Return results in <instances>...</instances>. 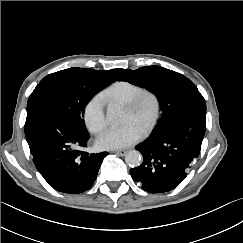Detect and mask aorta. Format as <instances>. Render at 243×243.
<instances>
[{
  "label": "aorta",
  "mask_w": 243,
  "mask_h": 243,
  "mask_svg": "<svg viewBox=\"0 0 243 243\" xmlns=\"http://www.w3.org/2000/svg\"><path fill=\"white\" fill-rule=\"evenodd\" d=\"M106 118L110 123H117L120 118V110L117 107H109ZM125 162L130 167H138L142 162V156L139 151L131 150L125 155Z\"/></svg>",
  "instance_id": "obj_1"
}]
</instances>
